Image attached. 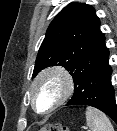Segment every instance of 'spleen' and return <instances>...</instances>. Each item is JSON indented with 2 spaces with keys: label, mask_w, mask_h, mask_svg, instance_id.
Masks as SVG:
<instances>
[{
  "label": "spleen",
  "mask_w": 117,
  "mask_h": 131,
  "mask_svg": "<svg viewBox=\"0 0 117 131\" xmlns=\"http://www.w3.org/2000/svg\"><path fill=\"white\" fill-rule=\"evenodd\" d=\"M86 123L91 131H114L109 118L96 108L87 107Z\"/></svg>",
  "instance_id": "spleen-1"
}]
</instances>
